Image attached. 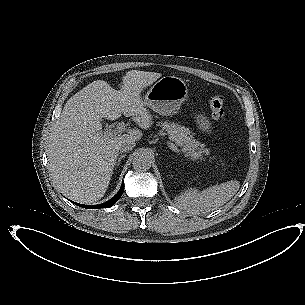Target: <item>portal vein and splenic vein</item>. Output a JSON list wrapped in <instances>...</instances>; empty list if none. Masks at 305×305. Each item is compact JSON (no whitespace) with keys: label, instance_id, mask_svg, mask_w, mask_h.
<instances>
[{"label":"portal vein and splenic vein","instance_id":"portal-vein-and-splenic-vein-1","mask_svg":"<svg viewBox=\"0 0 305 305\" xmlns=\"http://www.w3.org/2000/svg\"><path fill=\"white\" fill-rule=\"evenodd\" d=\"M123 127H125L124 124L119 123L117 125V130L109 129L108 131H106V133H108L109 135H117L120 130L124 129ZM169 147L172 151L179 153V149L173 143H170Z\"/></svg>","mask_w":305,"mask_h":305}]
</instances>
